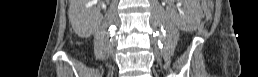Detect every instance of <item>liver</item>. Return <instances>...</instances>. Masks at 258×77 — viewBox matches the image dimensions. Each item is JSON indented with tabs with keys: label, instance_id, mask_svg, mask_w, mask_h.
Instances as JSON below:
<instances>
[{
	"label": "liver",
	"instance_id": "1",
	"mask_svg": "<svg viewBox=\"0 0 258 77\" xmlns=\"http://www.w3.org/2000/svg\"><path fill=\"white\" fill-rule=\"evenodd\" d=\"M86 3L87 0H70L68 15L72 24L78 20H83L85 22L86 13L84 8Z\"/></svg>",
	"mask_w": 258,
	"mask_h": 77
}]
</instances>
